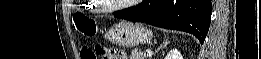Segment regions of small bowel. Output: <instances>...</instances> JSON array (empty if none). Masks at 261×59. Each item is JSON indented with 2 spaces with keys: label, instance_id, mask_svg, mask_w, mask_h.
Wrapping results in <instances>:
<instances>
[{
  "label": "small bowel",
  "instance_id": "obj_1",
  "mask_svg": "<svg viewBox=\"0 0 261 59\" xmlns=\"http://www.w3.org/2000/svg\"><path fill=\"white\" fill-rule=\"evenodd\" d=\"M113 51H115L118 54L116 59H118V58L127 59L126 55L122 51H120V50H113Z\"/></svg>",
  "mask_w": 261,
  "mask_h": 59
}]
</instances>
